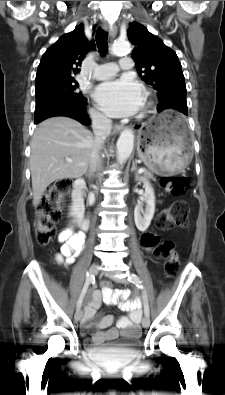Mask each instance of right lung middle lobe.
<instances>
[{
  "label": "right lung middle lobe",
  "mask_w": 225,
  "mask_h": 395,
  "mask_svg": "<svg viewBox=\"0 0 225 395\" xmlns=\"http://www.w3.org/2000/svg\"><path fill=\"white\" fill-rule=\"evenodd\" d=\"M79 84L75 79L58 80L36 85V107L35 112L46 106L65 99H85L82 93L77 91Z\"/></svg>",
  "instance_id": "right-lung-middle-lobe-1"
}]
</instances>
